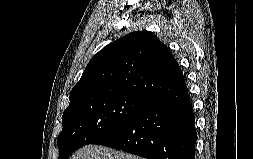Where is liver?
<instances>
[{"mask_svg": "<svg viewBox=\"0 0 253 159\" xmlns=\"http://www.w3.org/2000/svg\"><path fill=\"white\" fill-rule=\"evenodd\" d=\"M70 159H143V158L122 151H117L112 148L89 144L78 150Z\"/></svg>", "mask_w": 253, "mask_h": 159, "instance_id": "6515ba94", "label": "liver"}]
</instances>
